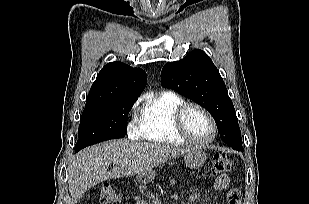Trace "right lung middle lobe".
<instances>
[{"label":"right lung middle lobe","instance_id":"dd1d6c3e","mask_svg":"<svg viewBox=\"0 0 309 204\" xmlns=\"http://www.w3.org/2000/svg\"><path fill=\"white\" fill-rule=\"evenodd\" d=\"M136 100L117 98L86 104L80 119L76 152L127 135V116Z\"/></svg>","mask_w":309,"mask_h":204}]
</instances>
